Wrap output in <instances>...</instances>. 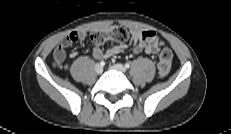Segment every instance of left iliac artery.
Masks as SVG:
<instances>
[{
	"label": "left iliac artery",
	"instance_id": "44dca946",
	"mask_svg": "<svg viewBox=\"0 0 231 134\" xmlns=\"http://www.w3.org/2000/svg\"><path fill=\"white\" fill-rule=\"evenodd\" d=\"M125 68H127V69L130 68V64H129V63H126V64H125Z\"/></svg>",
	"mask_w": 231,
	"mask_h": 134
}]
</instances>
